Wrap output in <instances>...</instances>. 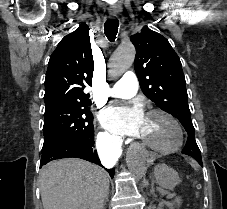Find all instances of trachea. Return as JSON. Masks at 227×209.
Listing matches in <instances>:
<instances>
[{
  "label": "trachea",
  "instance_id": "obj_1",
  "mask_svg": "<svg viewBox=\"0 0 227 209\" xmlns=\"http://www.w3.org/2000/svg\"><path fill=\"white\" fill-rule=\"evenodd\" d=\"M118 26H119V20L117 18L115 19L109 18L105 22V25H104L105 35L110 40V42H114V40L116 39Z\"/></svg>",
  "mask_w": 227,
  "mask_h": 209
}]
</instances>
